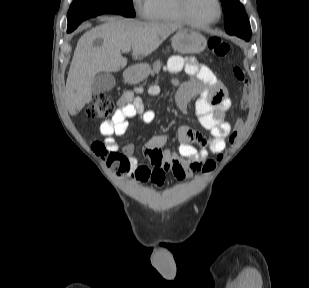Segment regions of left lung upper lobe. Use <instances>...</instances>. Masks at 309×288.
Wrapping results in <instances>:
<instances>
[{
    "label": "left lung upper lobe",
    "mask_w": 309,
    "mask_h": 288,
    "mask_svg": "<svg viewBox=\"0 0 309 288\" xmlns=\"http://www.w3.org/2000/svg\"><path fill=\"white\" fill-rule=\"evenodd\" d=\"M227 33L250 31V23L239 0H220Z\"/></svg>",
    "instance_id": "1"
}]
</instances>
